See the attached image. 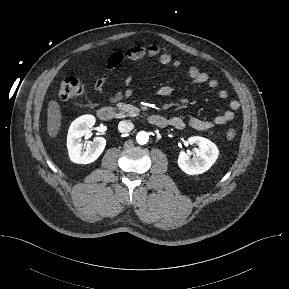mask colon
Returning a JSON list of instances; mask_svg holds the SVG:
<instances>
[{"instance_id": "colon-1", "label": "colon", "mask_w": 289, "mask_h": 289, "mask_svg": "<svg viewBox=\"0 0 289 289\" xmlns=\"http://www.w3.org/2000/svg\"><path fill=\"white\" fill-rule=\"evenodd\" d=\"M84 91L85 89L82 82L77 77L69 75L61 80L57 94L60 99L68 100L81 96ZM236 135L237 132L234 128H229L226 131V138L228 140H233Z\"/></svg>"}]
</instances>
